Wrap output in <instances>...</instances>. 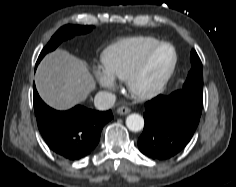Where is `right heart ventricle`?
Instances as JSON below:
<instances>
[{
    "label": "right heart ventricle",
    "mask_w": 236,
    "mask_h": 187,
    "mask_svg": "<svg viewBox=\"0 0 236 187\" xmlns=\"http://www.w3.org/2000/svg\"><path fill=\"white\" fill-rule=\"evenodd\" d=\"M160 41L152 36H134L120 39L101 53V63L114 78L126 80L143 54Z\"/></svg>",
    "instance_id": "obj_1"
}]
</instances>
